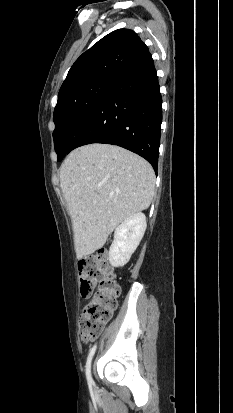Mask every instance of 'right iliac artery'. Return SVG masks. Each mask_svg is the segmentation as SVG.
<instances>
[{
  "label": "right iliac artery",
  "instance_id": "obj_1",
  "mask_svg": "<svg viewBox=\"0 0 233 413\" xmlns=\"http://www.w3.org/2000/svg\"><path fill=\"white\" fill-rule=\"evenodd\" d=\"M95 350H96V345H94V346L90 349L89 355H88V357H87L86 366H85V367H86V369H85V371H86V378H87V381H88L89 386L94 385V381H93L92 376H91V361H92L93 355H94V353H95Z\"/></svg>",
  "mask_w": 233,
  "mask_h": 413
}]
</instances>
